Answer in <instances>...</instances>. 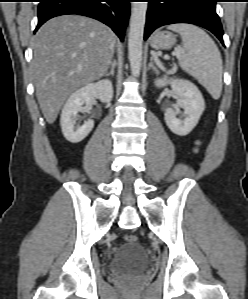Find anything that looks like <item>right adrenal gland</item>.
Here are the masks:
<instances>
[{
  "label": "right adrenal gland",
  "mask_w": 248,
  "mask_h": 299,
  "mask_svg": "<svg viewBox=\"0 0 248 299\" xmlns=\"http://www.w3.org/2000/svg\"><path fill=\"white\" fill-rule=\"evenodd\" d=\"M115 67H116V61H112V63H111V70L109 72H107L105 74V76H110V75L113 76L114 73H115Z\"/></svg>",
  "instance_id": "obj_1"
}]
</instances>
